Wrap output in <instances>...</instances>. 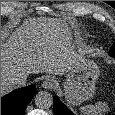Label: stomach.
I'll list each match as a JSON object with an SVG mask.
<instances>
[{
    "instance_id": "0dacf381",
    "label": "stomach",
    "mask_w": 115,
    "mask_h": 115,
    "mask_svg": "<svg viewBox=\"0 0 115 115\" xmlns=\"http://www.w3.org/2000/svg\"><path fill=\"white\" fill-rule=\"evenodd\" d=\"M100 69L93 60L82 57L67 74L64 82V94L68 103L79 105L91 99L95 94V84Z\"/></svg>"
}]
</instances>
